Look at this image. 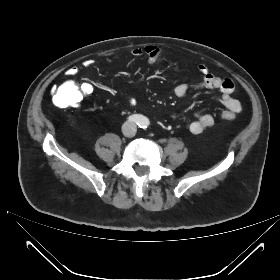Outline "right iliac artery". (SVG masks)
Wrapping results in <instances>:
<instances>
[{"instance_id": "82829eb1", "label": "right iliac artery", "mask_w": 280, "mask_h": 280, "mask_svg": "<svg viewBox=\"0 0 280 280\" xmlns=\"http://www.w3.org/2000/svg\"><path fill=\"white\" fill-rule=\"evenodd\" d=\"M142 120H143L142 116L138 114H134L128 117V121L134 122L136 124H140Z\"/></svg>"}]
</instances>
